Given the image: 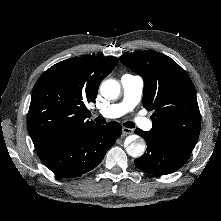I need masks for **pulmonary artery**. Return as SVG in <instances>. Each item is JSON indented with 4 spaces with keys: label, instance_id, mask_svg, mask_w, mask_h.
<instances>
[{
    "label": "pulmonary artery",
    "instance_id": "pulmonary-artery-1",
    "mask_svg": "<svg viewBox=\"0 0 221 221\" xmlns=\"http://www.w3.org/2000/svg\"><path fill=\"white\" fill-rule=\"evenodd\" d=\"M121 85L123 89V98L121 102L111 104L106 108L98 111V114L104 118H118L132 111L140 102L144 88L142 77L132 74H124L121 77ZM135 123L143 130H150L152 122L142 116L135 118Z\"/></svg>",
    "mask_w": 221,
    "mask_h": 221
}]
</instances>
